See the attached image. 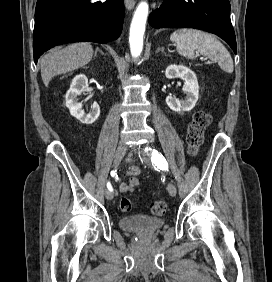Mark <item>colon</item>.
<instances>
[{
	"label": "colon",
	"instance_id": "1",
	"mask_svg": "<svg viewBox=\"0 0 272 282\" xmlns=\"http://www.w3.org/2000/svg\"><path fill=\"white\" fill-rule=\"evenodd\" d=\"M211 116L209 113L199 111L195 113L192 121L190 122L186 135V143L188 146L189 153L195 156L201 144L203 143L204 134L207 127L210 125ZM129 184L136 186L138 180L135 178L129 179ZM132 201L128 197H122L120 199V208L128 212L132 209ZM167 204L164 200H156L151 204L150 211L154 216H161L166 212Z\"/></svg>",
	"mask_w": 272,
	"mask_h": 282
}]
</instances>
